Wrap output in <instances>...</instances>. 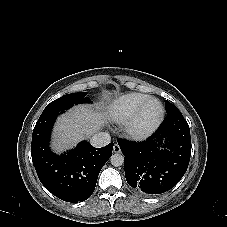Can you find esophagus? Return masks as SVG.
Masks as SVG:
<instances>
[{"label": "esophagus", "mask_w": 227, "mask_h": 227, "mask_svg": "<svg viewBox=\"0 0 227 227\" xmlns=\"http://www.w3.org/2000/svg\"><path fill=\"white\" fill-rule=\"evenodd\" d=\"M113 152L114 153H120L121 152L120 146L118 144H114Z\"/></svg>", "instance_id": "esophagus-1"}]
</instances>
